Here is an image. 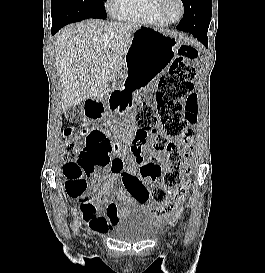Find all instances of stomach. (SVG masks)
Returning <instances> with one entry per match:
<instances>
[{
	"mask_svg": "<svg viewBox=\"0 0 265 273\" xmlns=\"http://www.w3.org/2000/svg\"><path fill=\"white\" fill-rule=\"evenodd\" d=\"M177 46L176 39L168 33L149 26L140 27L125 54L124 85H118V90H143L153 78H160L175 57Z\"/></svg>",
	"mask_w": 265,
	"mask_h": 273,
	"instance_id": "stomach-1",
	"label": "stomach"
}]
</instances>
